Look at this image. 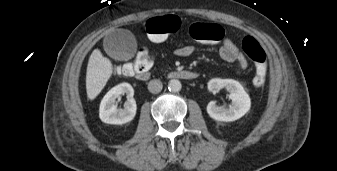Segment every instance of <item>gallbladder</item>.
Instances as JSON below:
<instances>
[{
    "instance_id": "obj_1",
    "label": "gallbladder",
    "mask_w": 337,
    "mask_h": 171,
    "mask_svg": "<svg viewBox=\"0 0 337 171\" xmlns=\"http://www.w3.org/2000/svg\"><path fill=\"white\" fill-rule=\"evenodd\" d=\"M107 54L116 60H128L136 51V41L128 30L117 29L108 34L103 41Z\"/></svg>"
}]
</instances>
